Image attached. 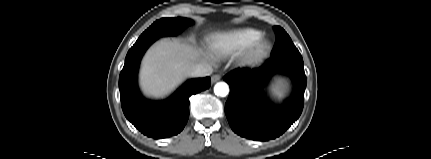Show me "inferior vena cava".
Returning a JSON list of instances; mask_svg holds the SVG:
<instances>
[{"instance_id":"1","label":"inferior vena cava","mask_w":431,"mask_h":159,"mask_svg":"<svg viewBox=\"0 0 431 159\" xmlns=\"http://www.w3.org/2000/svg\"><path fill=\"white\" fill-rule=\"evenodd\" d=\"M212 72H213V69L208 63H202V64L195 65L192 68L190 75L192 77H205V76L211 75Z\"/></svg>"}]
</instances>
